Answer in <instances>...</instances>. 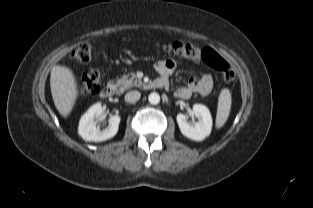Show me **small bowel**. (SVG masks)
<instances>
[{"instance_id": "1", "label": "small bowel", "mask_w": 313, "mask_h": 208, "mask_svg": "<svg viewBox=\"0 0 313 208\" xmlns=\"http://www.w3.org/2000/svg\"><path fill=\"white\" fill-rule=\"evenodd\" d=\"M175 67L176 64L171 59L160 60L155 63V70L160 74V79L167 84ZM212 88L213 79L210 75H204L201 78L191 77L186 86L176 90L175 95L181 99H188L195 93L206 96L212 91Z\"/></svg>"}]
</instances>
